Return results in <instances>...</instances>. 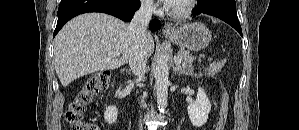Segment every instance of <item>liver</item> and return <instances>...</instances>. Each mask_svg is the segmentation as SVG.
<instances>
[{
  "instance_id": "obj_1",
  "label": "liver",
  "mask_w": 299,
  "mask_h": 130,
  "mask_svg": "<svg viewBox=\"0 0 299 130\" xmlns=\"http://www.w3.org/2000/svg\"><path fill=\"white\" fill-rule=\"evenodd\" d=\"M134 47L129 25L103 13H86L69 21L54 40V66L63 87L74 80L124 65ZM143 50L154 52V40L146 32ZM109 52L119 56L110 57Z\"/></svg>"
}]
</instances>
